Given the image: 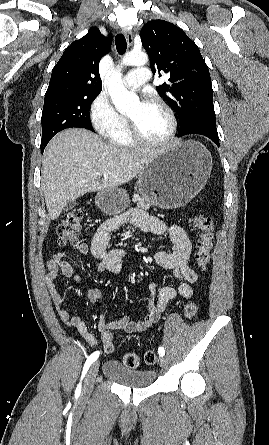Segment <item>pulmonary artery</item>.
<instances>
[{
	"label": "pulmonary artery",
	"mask_w": 269,
	"mask_h": 445,
	"mask_svg": "<svg viewBox=\"0 0 269 445\" xmlns=\"http://www.w3.org/2000/svg\"><path fill=\"white\" fill-rule=\"evenodd\" d=\"M151 77V72L146 67H138L129 71L123 78V82L128 88H137L142 86Z\"/></svg>",
	"instance_id": "e3ab8cb5"
}]
</instances>
